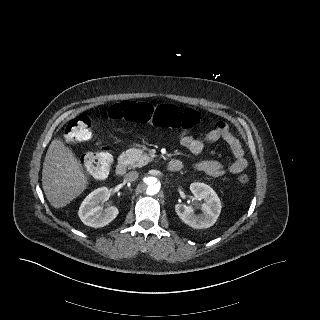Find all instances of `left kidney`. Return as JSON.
<instances>
[{
	"label": "left kidney",
	"mask_w": 320,
	"mask_h": 320,
	"mask_svg": "<svg viewBox=\"0 0 320 320\" xmlns=\"http://www.w3.org/2000/svg\"><path fill=\"white\" fill-rule=\"evenodd\" d=\"M190 190L197 200H204L201 205L202 214L197 215L191 206L176 204L175 210L179 218L194 229H206L214 225L221 212V201L217 193L204 183L194 182Z\"/></svg>",
	"instance_id": "left-kidney-1"
}]
</instances>
